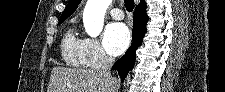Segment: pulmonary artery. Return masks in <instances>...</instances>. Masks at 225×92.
<instances>
[{
    "mask_svg": "<svg viewBox=\"0 0 225 92\" xmlns=\"http://www.w3.org/2000/svg\"><path fill=\"white\" fill-rule=\"evenodd\" d=\"M110 15L115 20H121L124 18V14L120 8H114L110 11Z\"/></svg>",
    "mask_w": 225,
    "mask_h": 92,
    "instance_id": "obj_1",
    "label": "pulmonary artery"
}]
</instances>
